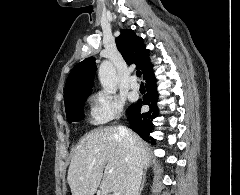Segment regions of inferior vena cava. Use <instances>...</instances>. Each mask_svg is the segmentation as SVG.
Instances as JSON below:
<instances>
[{
	"label": "inferior vena cava",
	"mask_w": 240,
	"mask_h": 195,
	"mask_svg": "<svg viewBox=\"0 0 240 195\" xmlns=\"http://www.w3.org/2000/svg\"><path fill=\"white\" fill-rule=\"evenodd\" d=\"M119 135L123 137V143L128 149L129 175L127 177V187L124 195H139V189L143 175V165L141 163L139 147L136 139L131 137L129 129L118 127Z\"/></svg>",
	"instance_id": "obj_1"
}]
</instances>
